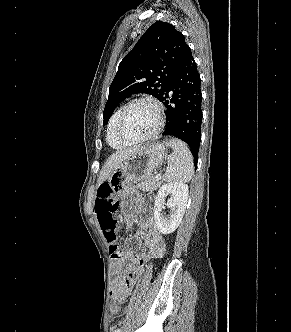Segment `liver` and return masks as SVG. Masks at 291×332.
I'll return each mask as SVG.
<instances>
[{
	"label": "liver",
	"mask_w": 291,
	"mask_h": 332,
	"mask_svg": "<svg viewBox=\"0 0 291 332\" xmlns=\"http://www.w3.org/2000/svg\"><path fill=\"white\" fill-rule=\"evenodd\" d=\"M140 148H142V147H133L130 149L120 150V151L113 153L108 158V160L106 161V163L104 164V166L100 172V175L98 178V186L101 185L104 181H106L108 179V177L111 175V173L114 170L118 169L119 166L121 165V163L125 159H127L131 154H133Z\"/></svg>",
	"instance_id": "1"
}]
</instances>
